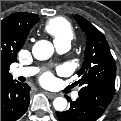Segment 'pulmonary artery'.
Instances as JSON below:
<instances>
[{"label":"pulmonary artery","mask_w":121,"mask_h":121,"mask_svg":"<svg viewBox=\"0 0 121 121\" xmlns=\"http://www.w3.org/2000/svg\"><path fill=\"white\" fill-rule=\"evenodd\" d=\"M56 48L60 53H65L70 49V44L69 43L61 44V45L56 46ZM37 70L38 69L35 67H21V68L14 69L12 71V75L15 78L21 77V76L28 77V76L34 75L37 72ZM78 96H79L78 92H74L72 94L73 98H77Z\"/></svg>","instance_id":"e3ab8cb5"}]
</instances>
